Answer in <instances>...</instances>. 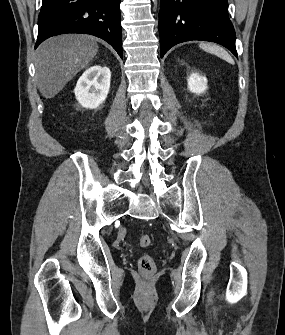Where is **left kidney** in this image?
Listing matches in <instances>:
<instances>
[{
  "instance_id": "5707ae66",
  "label": "left kidney",
  "mask_w": 285,
  "mask_h": 335,
  "mask_svg": "<svg viewBox=\"0 0 285 335\" xmlns=\"http://www.w3.org/2000/svg\"><path fill=\"white\" fill-rule=\"evenodd\" d=\"M207 78L205 76H200V74H191L188 80V88L193 94H203L207 90Z\"/></svg>"
}]
</instances>
